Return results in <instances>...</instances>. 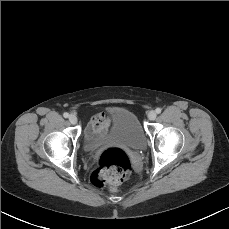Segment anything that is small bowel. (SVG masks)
Returning <instances> with one entry per match:
<instances>
[{
    "mask_svg": "<svg viewBox=\"0 0 229 229\" xmlns=\"http://www.w3.org/2000/svg\"><path fill=\"white\" fill-rule=\"evenodd\" d=\"M110 127V118L106 112L96 114L86 127L85 134L94 135L96 133L107 132Z\"/></svg>",
    "mask_w": 229,
    "mask_h": 229,
    "instance_id": "c3829d8e",
    "label": "small bowel"
}]
</instances>
